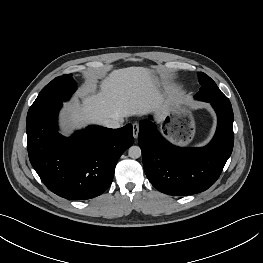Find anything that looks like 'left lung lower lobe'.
<instances>
[{"label":"left lung lower lobe","mask_w":263,"mask_h":263,"mask_svg":"<svg viewBox=\"0 0 263 263\" xmlns=\"http://www.w3.org/2000/svg\"><path fill=\"white\" fill-rule=\"evenodd\" d=\"M206 102L214 108L218 124L212 141L205 147L174 146L150 120L140 121L138 143L146 176L165 194L184 196L207 190L216 182L232 153L234 117L231 104Z\"/></svg>","instance_id":"obj_1"}]
</instances>
